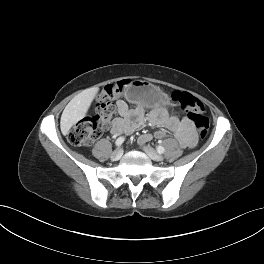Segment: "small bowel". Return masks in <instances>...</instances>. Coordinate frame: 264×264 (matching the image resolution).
Here are the masks:
<instances>
[{
    "mask_svg": "<svg viewBox=\"0 0 264 264\" xmlns=\"http://www.w3.org/2000/svg\"><path fill=\"white\" fill-rule=\"evenodd\" d=\"M116 106L119 117L111 125L112 133H131L145 123V111L142 106L130 108L122 99L117 100ZM148 120L158 130L154 133L141 135L139 144H145L153 138H163L168 133L175 135L182 148H192L197 143V134L194 126L186 117L179 119L169 115L165 108H156L150 111Z\"/></svg>",
    "mask_w": 264,
    "mask_h": 264,
    "instance_id": "1",
    "label": "small bowel"
}]
</instances>
